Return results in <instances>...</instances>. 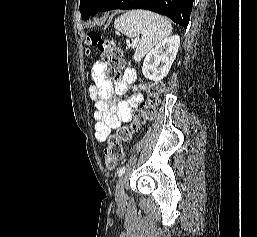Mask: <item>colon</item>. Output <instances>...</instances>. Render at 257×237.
Returning a JSON list of instances; mask_svg holds the SVG:
<instances>
[{
    "label": "colon",
    "mask_w": 257,
    "mask_h": 237,
    "mask_svg": "<svg viewBox=\"0 0 257 237\" xmlns=\"http://www.w3.org/2000/svg\"><path fill=\"white\" fill-rule=\"evenodd\" d=\"M87 39L91 46L97 48L102 60L107 63V76L115 82L120 81L124 66L122 49L96 31H90ZM163 90L162 83L148 84L146 86L147 100L140 105L134 119L129 124L117 128L115 133L108 138L105 149V165L108 169H115L123 160V144L130 142L133 135L139 132L146 122L154 119Z\"/></svg>",
    "instance_id": "1"
}]
</instances>
